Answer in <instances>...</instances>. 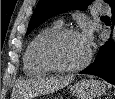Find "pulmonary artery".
Returning <instances> with one entry per match:
<instances>
[{
    "label": "pulmonary artery",
    "instance_id": "e3ab8cb5",
    "mask_svg": "<svg viewBox=\"0 0 115 99\" xmlns=\"http://www.w3.org/2000/svg\"><path fill=\"white\" fill-rule=\"evenodd\" d=\"M96 12H98L100 14H105V13H109L110 9L107 6H103L101 4H98L96 6Z\"/></svg>",
    "mask_w": 115,
    "mask_h": 99
}]
</instances>
